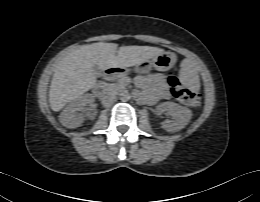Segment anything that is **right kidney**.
<instances>
[{
	"instance_id": "ca27d5eb",
	"label": "right kidney",
	"mask_w": 260,
	"mask_h": 202,
	"mask_svg": "<svg viewBox=\"0 0 260 202\" xmlns=\"http://www.w3.org/2000/svg\"><path fill=\"white\" fill-rule=\"evenodd\" d=\"M93 101L91 94H84L72 101L59 116L61 124L67 128L79 127L85 118L84 107Z\"/></svg>"
}]
</instances>
